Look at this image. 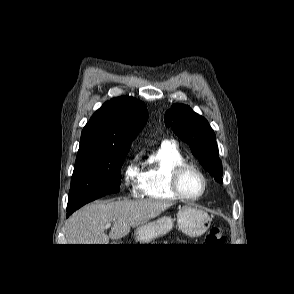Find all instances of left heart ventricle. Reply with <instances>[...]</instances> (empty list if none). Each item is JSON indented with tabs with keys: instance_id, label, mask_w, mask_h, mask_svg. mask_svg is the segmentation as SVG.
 Masks as SVG:
<instances>
[{
	"instance_id": "1",
	"label": "left heart ventricle",
	"mask_w": 294,
	"mask_h": 294,
	"mask_svg": "<svg viewBox=\"0 0 294 294\" xmlns=\"http://www.w3.org/2000/svg\"><path fill=\"white\" fill-rule=\"evenodd\" d=\"M180 185L186 195L196 196L201 192L202 180L196 172L187 170L181 177Z\"/></svg>"
}]
</instances>
